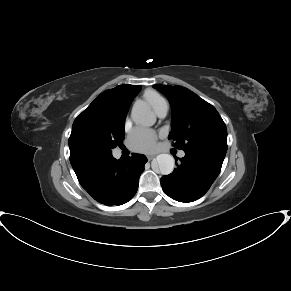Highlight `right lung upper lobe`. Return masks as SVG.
I'll use <instances>...</instances> for the list:
<instances>
[{"label": "right lung upper lobe", "instance_id": "obj_1", "mask_svg": "<svg viewBox=\"0 0 291 291\" xmlns=\"http://www.w3.org/2000/svg\"><path fill=\"white\" fill-rule=\"evenodd\" d=\"M139 85H120L102 92L74 121L72 129L86 116L102 110H112L122 115L127 114L133 97L140 91Z\"/></svg>", "mask_w": 291, "mask_h": 291}]
</instances>
